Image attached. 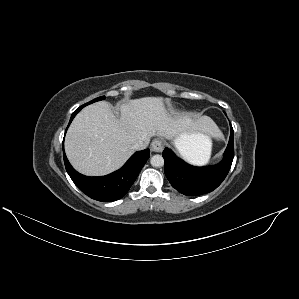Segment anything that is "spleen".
I'll use <instances>...</instances> for the list:
<instances>
[{"mask_svg": "<svg viewBox=\"0 0 299 299\" xmlns=\"http://www.w3.org/2000/svg\"><path fill=\"white\" fill-rule=\"evenodd\" d=\"M206 123H207V125H208L209 128H214L215 127V123L210 118L206 119ZM209 140L211 142L210 138H209ZM210 152H211V147H209L205 151L199 153V155H197V156L184 155L182 153L181 154L184 157H186L189 161H191L192 163L203 165V164H206L208 162V160L210 158Z\"/></svg>", "mask_w": 299, "mask_h": 299, "instance_id": "obj_1", "label": "spleen"}]
</instances>
